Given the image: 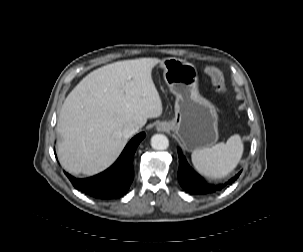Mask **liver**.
Segmentation results:
<instances>
[{"label": "liver", "instance_id": "1", "mask_svg": "<svg viewBox=\"0 0 303 252\" xmlns=\"http://www.w3.org/2000/svg\"><path fill=\"white\" fill-rule=\"evenodd\" d=\"M158 58L123 60L100 67L69 93L57 122V154L75 175H94L118 158L129 123L143 127L162 114V101L152 79Z\"/></svg>", "mask_w": 303, "mask_h": 252}]
</instances>
